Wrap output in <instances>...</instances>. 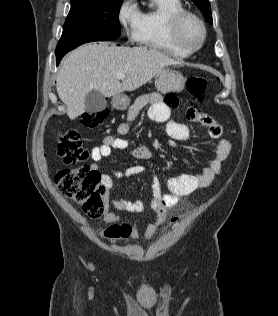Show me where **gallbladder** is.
Instances as JSON below:
<instances>
[{
	"label": "gallbladder",
	"instance_id": "1",
	"mask_svg": "<svg viewBox=\"0 0 278 316\" xmlns=\"http://www.w3.org/2000/svg\"><path fill=\"white\" fill-rule=\"evenodd\" d=\"M107 106L104 95L97 91L91 90L85 96V107L88 113H96L103 111Z\"/></svg>",
	"mask_w": 278,
	"mask_h": 316
}]
</instances>
